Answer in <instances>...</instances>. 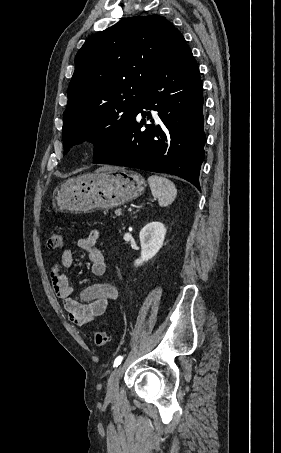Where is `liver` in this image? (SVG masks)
<instances>
[{"mask_svg":"<svg viewBox=\"0 0 281 453\" xmlns=\"http://www.w3.org/2000/svg\"><path fill=\"white\" fill-rule=\"evenodd\" d=\"M107 164H105V166H100V168H97V170H104V168H106Z\"/></svg>","mask_w":281,"mask_h":453,"instance_id":"obj_1","label":"liver"}]
</instances>
